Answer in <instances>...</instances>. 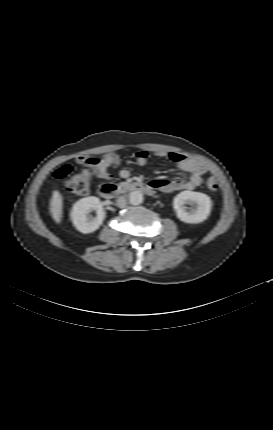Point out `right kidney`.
<instances>
[{
    "mask_svg": "<svg viewBox=\"0 0 273 430\" xmlns=\"http://www.w3.org/2000/svg\"><path fill=\"white\" fill-rule=\"evenodd\" d=\"M91 210L96 211V217L88 216ZM70 216L76 229L86 234L100 227L105 218V212L99 198L90 196L77 201L73 205Z\"/></svg>",
    "mask_w": 273,
    "mask_h": 430,
    "instance_id": "right-kidney-1",
    "label": "right kidney"
}]
</instances>
